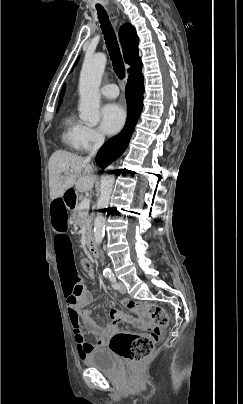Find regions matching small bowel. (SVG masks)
Segmentation results:
<instances>
[{"mask_svg": "<svg viewBox=\"0 0 243 404\" xmlns=\"http://www.w3.org/2000/svg\"><path fill=\"white\" fill-rule=\"evenodd\" d=\"M50 221L54 233V248L67 311L73 326L78 355L84 359L92 349L105 346L109 338L117 332L116 323L121 318V314L119 310L113 308L111 324L95 325L91 321L90 312L86 308L90 304V297L86 286L80 282L75 267L72 243L68 235V207L64 194H59L51 200ZM88 275L93 278L94 272L89 271ZM81 321L84 322L86 331L96 338L95 345L86 341Z\"/></svg>", "mask_w": 243, "mask_h": 404, "instance_id": "c3829d8e", "label": "small bowel"}]
</instances>
